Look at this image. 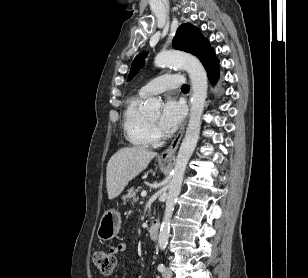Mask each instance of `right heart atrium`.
<instances>
[{
  "label": "right heart atrium",
  "mask_w": 308,
  "mask_h": 278,
  "mask_svg": "<svg viewBox=\"0 0 308 278\" xmlns=\"http://www.w3.org/2000/svg\"><path fill=\"white\" fill-rule=\"evenodd\" d=\"M151 139L152 143H158L161 139V131L155 125L151 126Z\"/></svg>",
  "instance_id": "obj_1"
}]
</instances>
